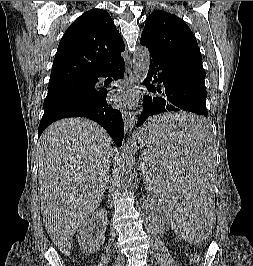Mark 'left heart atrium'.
<instances>
[{"label": "left heart atrium", "mask_w": 253, "mask_h": 266, "mask_svg": "<svg viewBox=\"0 0 253 266\" xmlns=\"http://www.w3.org/2000/svg\"><path fill=\"white\" fill-rule=\"evenodd\" d=\"M111 101L119 107L130 108L134 105L136 95L131 89H121L112 93Z\"/></svg>", "instance_id": "left-heart-atrium-1"}]
</instances>
